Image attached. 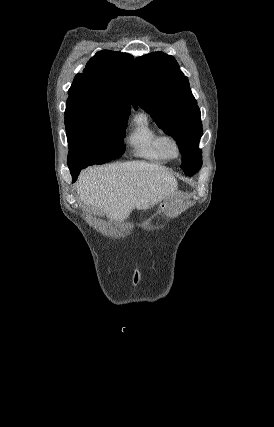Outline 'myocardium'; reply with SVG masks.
Instances as JSON below:
<instances>
[{
    "label": "myocardium",
    "instance_id": "myocardium-1",
    "mask_svg": "<svg viewBox=\"0 0 274 427\" xmlns=\"http://www.w3.org/2000/svg\"><path fill=\"white\" fill-rule=\"evenodd\" d=\"M161 147L168 159H179L183 154L182 144L174 134H164L161 136Z\"/></svg>",
    "mask_w": 274,
    "mask_h": 427
}]
</instances>
